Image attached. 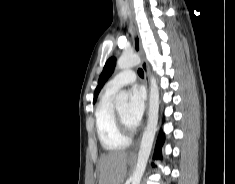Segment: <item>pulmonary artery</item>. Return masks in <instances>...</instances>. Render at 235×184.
<instances>
[{"label":"pulmonary artery","instance_id":"obj_1","mask_svg":"<svg viewBox=\"0 0 235 184\" xmlns=\"http://www.w3.org/2000/svg\"><path fill=\"white\" fill-rule=\"evenodd\" d=\"M136 79L137 75L133 70L122 71L107 82L105 90L109 93H113L124 86L133 84Z\"/></svg>","mask_w":235,"mask_h":184}]
</instances>
